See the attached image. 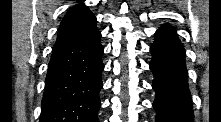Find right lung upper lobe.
<instances>
[{
  "label": "right lung upper lobe",
  "mask_w": 221,
  "mask_h": 122,
  "mask_svg": "<svg viewBox=\"0 0 221 122\" xmlns=\"http://www.w3.org/2000/svg\"><path fill=\"white\" fill-rule=\"evenodd\" d=\"M94 21H96V18L93 13L83 3L77 4L63 17L57 41L73 34Z\"/></svg>",
  "instance_id": "right-lung-upper-lobe-1"
}]
</instances>
